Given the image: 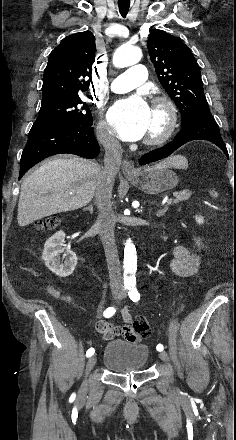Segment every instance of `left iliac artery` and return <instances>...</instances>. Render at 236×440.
I'll use <instances>...</instances> for the list:
<instances>
[{
    "instance_id": "1",
    "label": "left iliac artery",
    "mask_w": 236,
    "mask_h": 440,
    "mask_svg": "<svg viewBox=\"0 0 236 440\" xmlns=\"http://www.w3.org/2000/svg\"><path fill=\"white\" fill-rule=\"evenodd\" d=\"M128 295L129 298L133 301V302H137L140 299V293L138 292L137 288L135 285H130L128 287ZM157 351H163L164 347L162 344H158L156 347Z\"/></svg>"
}]
</instances>
